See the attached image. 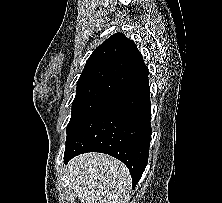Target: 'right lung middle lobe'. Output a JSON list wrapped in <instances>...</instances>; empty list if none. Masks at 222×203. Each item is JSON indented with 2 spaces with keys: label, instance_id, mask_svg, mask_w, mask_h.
I'll use <instances>...</instances> for the list:
<instances>
[{
  "label": "right lung middle lobe",
  "instance_id": "right-lung-middle-lobe-1",
  "mask_svg": "<svg viewBox=\"0 0 222 203\" xmlns=\"http://www.w3.org/2000/svg\"><path fill=\"white\" fill-rule=\"evenodd\" d=\"M113 93L99 89H85L77 91L72 103L71 119L66 132L69 133L79 122L93 110L104 103Z\"/></svg>",
  "mask_w": 222,
  "mask_h": 203
}]
</instances>
